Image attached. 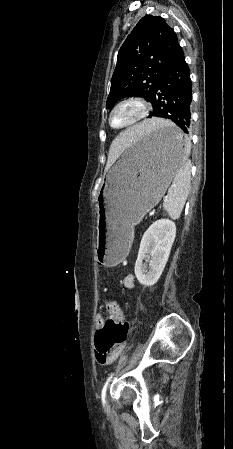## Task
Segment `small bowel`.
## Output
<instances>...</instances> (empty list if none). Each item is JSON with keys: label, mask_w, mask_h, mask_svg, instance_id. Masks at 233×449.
I'll use <instances>...</instances> for the list:
<instances>
[{"label": "small bowel", "mask_w": 233, "mask_h": 449, "mask_svg": "<svg viewBox=\"0 0 233 449\" xmlns=\"http://www.w3.org/2000/svg\"><path fill=\"white\" fill-rule=\"evenodd\" d=\"M123 285H124V287L129 288V289L133 288L134 287V277H133V275H131V274L126 275L124 277V279H123ZM95 321H96V327H97L98 331L102 330L104 328V326H105V321H104L103 316L101 314H97L96 318H95ZM122 348L123 347L120 346V347H118V348H116V349L112 350L111 352H109L107 354H104V355L96 354L97 362L100 365H103V366L112 364L117 359V357L119 356Z\"/></svg>", "instance_id": "c3829d8e"}]
</instances>
